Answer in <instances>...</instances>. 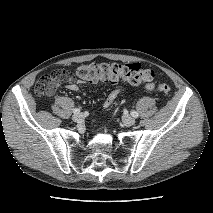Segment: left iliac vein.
I'll return each instance as SVG.
<instances>
[{
	"mask_svg": "<svg viewBox=\"0 0 213 213\" xmlns=\"http://www.w3.org/2000/svg\"><path fill=\"white\" fill-rule=\"evenodd\" d=\"M123 122L126 126H132L135 124V119L130 115H124Z\"/></svg>",
	"mask_w": 213,
	"mask_h": 213,
	"instance_id": "4c4485c4",
	"label": "left iliac vein"
}]
</instances>
